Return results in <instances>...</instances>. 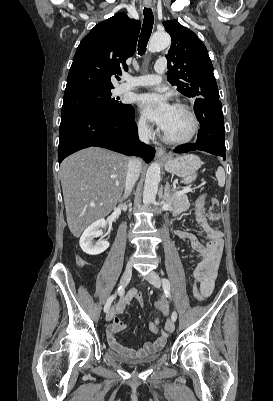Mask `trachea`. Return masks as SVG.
I'll list each match as a JSON object with an SVG mask.
<instances>
[{"instance_id":"trachea-1","label":"trachea","mask_w":273,"mask_h":401,"mask_svg":"<svg viewBox=\"0 0 273 401\" xmlns=\"http://www.w3.org/2000/svg\"><path fill=\"white\" fill-rule=\"evenodd\" d=\"M154 25V16L151 8H144V20L141 29L139 42H138V53L144 54L146 51L147 43L152 33Z\"/></svg>"}]
</instances>
